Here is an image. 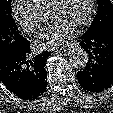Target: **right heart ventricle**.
<instances>
[{"instance_id": "1", "label": "right heart ventricle", "mask_w": 113, "mask_h": 113, "mask_svg": "<svg viewBox=\"0 0 113 113\" xmlns=\"http://www.w3.org/2000/svg\"><path fill=\"white\" fill-rule=\"evenodd\" d=\"M52 0H27L38 12L43 14Z\"/></svg>"}]
</instances>
